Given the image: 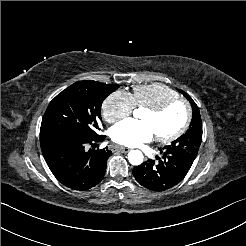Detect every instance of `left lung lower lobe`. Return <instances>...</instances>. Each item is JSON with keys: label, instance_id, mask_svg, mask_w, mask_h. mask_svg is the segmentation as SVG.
Returning <instances> with one entry per match:
<instances>
[{"label": "left lung lower lobe", "instance_id": "obj_1", "mask_svg": "<svg viewBox=\"0 0 246 246\" xmlns=\"http://www.w3.org/2000/svg\"><path fill=\"white\" fill-rule=\"evenodd\" d=\"M158 163L149 160L133 169L138 183L153 191H164L178 184L188 173L193 158L189 153L163 149Z\"/></svg>", "mask_w": 246, "mask_h": 246}]
</instances>
